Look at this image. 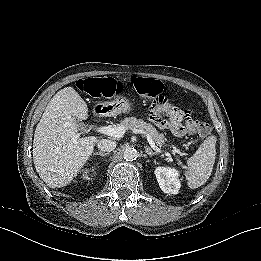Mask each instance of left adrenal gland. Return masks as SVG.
Returning a JSON list of instances; mask_svg holds the SVG:
<instances>
[{
    "instance_id": "obj_1",
    "label": "left adrenal gland",
    "mask_w": 261,
    "mask_h": 261,
    "mask_svg": "<svg viewBox=\"0 0 261 261\" xmlns=\"http://www.w3.org/2000/svg\"><path fill=\"white\" fill-rule=\"evenodd\" d=\"M145 152L149 155V156H154L157 155V152H154L150 147L145 146Z\"/></svg>"
}]
</instances>
